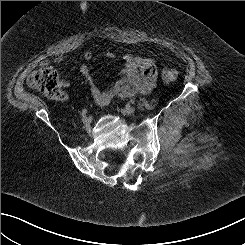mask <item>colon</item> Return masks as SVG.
Returning <instances> with one entry per match:
<instances>
[{
    "instance_id": "1",
    "label": "colon",
    "mask_w": 245,
    "mask_h": 245,
    "mask_svg": "<svg viewBox=\"0 0 245 245\" xmlns=\"http://www.w3.org/2000/svg\"><path fill=\"white\" fill-rule=\"evenodd\" d=\"M177 78L178 74L174 69L165 68L161 72V80L165 86L172 85ZM27 84L30 88L50 98L57 99L62 94L58 84L57 72L48 64H43L37 70L33 71L27 79Z\"/></svg>"
}]
</instances>
